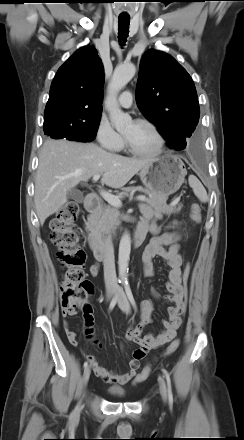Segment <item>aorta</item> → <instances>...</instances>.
<instances>
[{
	"mask_svg": "<svg viewBox=\"0 0 244 440\" xmlns=\"http://www.w3.org/2000/svg\"><path fill=\"white\" fill-rule=\"evenodd\" d=\"M136 68L133 64H123L115 68L109 84L106 107L112 124L117 131H122L130 122L131 117L124 113L117 102V94L135 75ZM131 238L129 233H124L119 244L118 267L122 280L127 279V271L130 260Z\"/></svg>",
	"mask_w": 244,
	"mask_h": 440,
	"instance_id": "aorta-1",
	"label": "aorta"
}]
</instances>
